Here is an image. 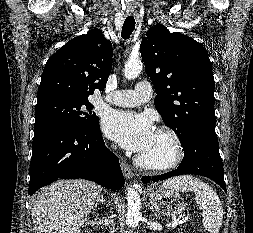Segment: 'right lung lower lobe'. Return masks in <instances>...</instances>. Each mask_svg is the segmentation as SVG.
I'll use <instances>...</instances> for the list:
<instances>
[{"label": "right lung lower lobe", "instance_id": "right-lung-lower-lobe-1", "mask_svg": "<svg viewBox=\"0 0 253 233\" xmlns=\"http://www.w3.org/2000/svg\"><path fill=\"white\" fill-rule=\"evenodd\" d=\"M29 194L58 179H86L112 190L125 180L115 154L105 147L99 124L81 131L62 124L34 129Z\"/></svg>", "mask_w": 253, "mask_h": 233}]
</instances>
